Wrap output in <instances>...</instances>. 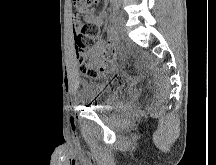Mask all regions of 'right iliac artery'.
<instances>
[{
  "instance_id": "82829eb1",
  "label": "right iliac artery",
  "mask_w": 216,
  "mask_h": 165,
  "mask_svg": "<svg viewBox=\"0 0 216 165\" xmlns=\"http://www.w3.org/2000/svg\"><path fill=\"white\" fill-rule=\"evenodd\" d=\"M116 32H115V27L113 24H111L108 28V37L109 39H113L115 36Z\"/></svg>"
}]
</instances>
